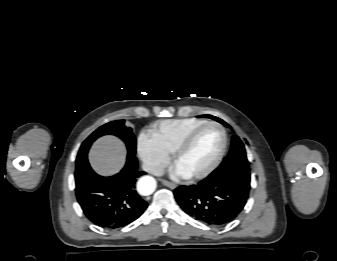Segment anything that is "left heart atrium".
Masks as SVG:
<instances>
[{
  "instance_id": "1",
  "label": "left heart atrium",
  "mask_w": 337,
  "mask_h": 261,
  "mask_svg": "<svg viewBox=\"0 0 337 261\" xmlns=\"http://www.w3.org/2000/svg\"><path fill=\"white\" fill-rule=\"evenodd\" d=\"M174 175L178 176V177H185L186 175L183 174L177 167L174 170Z\"/></svg>"
}]
</instances>
